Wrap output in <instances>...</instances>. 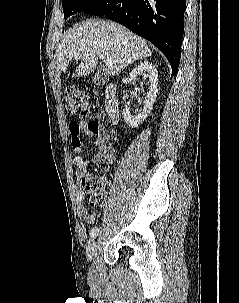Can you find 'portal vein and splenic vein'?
Wrapping results in <instances>:
<instances>
[{"mask_svg":"<svg viewBox=\"0 0 239 303\" xmlns=\"http://www.w3.org/2000/svg\"><path fill=\"white\" fill-rule=\"evenodd\" d=\"M103 59V62L106 64V65H109L111 64L112 60L110 58H105V57H101Z\"/></svg>","mask_w":239,"mask_h":303,"instance_id":"18ae733b","label":"portal vein and splenic vein"}]
</instances>
